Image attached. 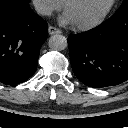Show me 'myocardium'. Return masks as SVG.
<instances>
[{
    "instance_id": "f54148a6",
    "label": "myocardium",
    "mask_w": 128,
    "mask_h": 128,
    "mask_svg": "<svg viewBox=\"0 0 128 128\" xmlns=\"http://www.w3.org/2000/svg\"><path fill=\"white\" fill-rule=\"evenodd\" d=\"M75 1L76 0H65L64 2L65 12L67 11L68 7ZM115 3H116V0H110L106 5V7L103 9V11L96 18L86 23L75 24V27L79 30H89L94 27H97L105 20V18L108 16L110 11L113 9Z\"/></svg>"
}]
</instances>
